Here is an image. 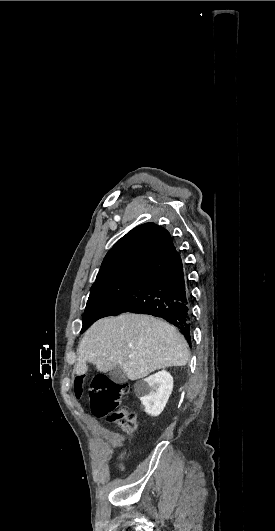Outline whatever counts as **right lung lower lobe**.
<instances>
[{
    "mask_svg": "<svg viewBox=\"0 0 275 531\" xmlns=\"http://www.w3.org/2000/svg\"><path fill=\"white\" fill-rule=\"evenodd\" d=\"M125 312L161 317L176 326L191 345L190 292L184 264L173 243L145 267L102 317Z\"/></svg>",
    "mask_w": 275,
    "mask_h": 531,
    "instance_id": "right-lung-lower-lobe-1",
    "label": "right lung lower lobe"
}]
</instances>
